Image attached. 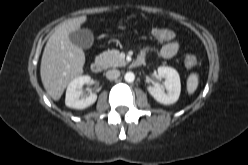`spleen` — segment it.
Returning <instances> with one entry per match:
<instances>
[{
    "label": "spleen",
    "mask_w": 248,
    "mask_h": 165,
    "mask_svg": "<svg viewBox=\"0 0 248 165\" xmlns=\"http://www.w3.org/2000/svg\"><path fill=\"white\" fill-rule=\"evenodd\" d=\"M198 87V75L191 73L187 79V91L189 94H193Z\"/></svg>",
    "instance_id": "1"
}]
</instances>
